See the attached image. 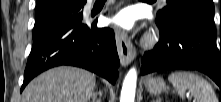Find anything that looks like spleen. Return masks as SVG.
Wrapping results in <instances>:
<instances>
[{
    "mask_svg": "<svg viewBox=\"0 0 221 102\" xmlns=\"http://www.w3.org/2000/svg\"><path fill=\"white\" fill-rule=\"evenodd\" d=\"M168 80L182 99L189 92L196 102H218L210 83L197 74L176 71L169 75Z\"/></svg>",
    "mask_w": 221,
    "mask_h": 102,
    "instance_id": "obj_1",
    "label": "spleen"
}]
</instances>
